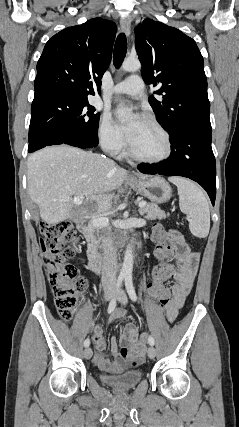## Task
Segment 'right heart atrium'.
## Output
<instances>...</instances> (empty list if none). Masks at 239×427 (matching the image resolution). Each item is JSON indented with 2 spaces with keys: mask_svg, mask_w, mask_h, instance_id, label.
<instances>
[{
  "mask_svg": "<svg viewBox=\"0 0 239 427\" xmlns=\"http://www.w3.org/2000/svg\"><path fill=\"white\" fill-rule=\"evenodd\" d=\"M97 134L100 145L111 155H118L124 150L123 135L108 113L101 116Z\"/></svg>",
  "mask_w": 239,
  "mask_h": 427,
  "instance_id": "right-heart-atrium-1",
  "label": "right heart atrium"
}]
</instances>
